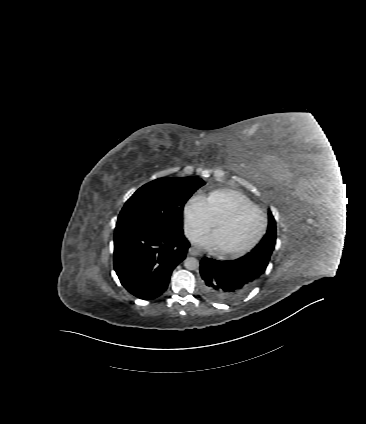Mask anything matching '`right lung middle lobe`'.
<instances>
[{
  "label": "right lung middle lobe",
  "instance_id": "right-lung-middle-lobe-1",
  "mask_svg": "<svg viewBox=\"0 0 366 424\" xmlns=\"http://www.w3.org/2000/svg\"><path fill=\"white\" fill-rule=\"evenodd\" d=\"M204 184L198 177L151 181L128 199L119 214L116 227L155 226L167 233H181L184 204Z\"/></svg>",
  "mask_w": 366,
  "mask_h": 424
}]
</instances>
